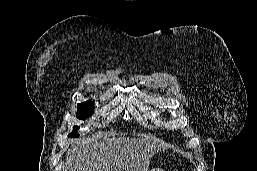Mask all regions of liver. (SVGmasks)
Returning <instances> with one entry per match:
<instances>
[{
  "instance_id": "obj_1",
  "label": "liver",
  "mask_w": 257,
  "mask_h": 171,
  "mask_svg": "<svg viewBox=\"0 0 257 171\" xmlns=\"http://www.w3.org/2000/svg\"><path fill=\"white\" fill-rule=\"evenodd\" d=\"M163 148L156 140L115 137L75 140L66 155V171H148L152 155Z\"/></svg>"
}]
</instances>
